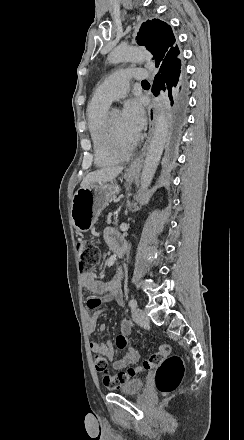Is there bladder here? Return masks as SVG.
I'll return each instance as SVG.
<instances>
[{
    "instance_id": "bladder-1",
    "label": "bladder",
    "mask_w": 244,
    "mask_h": 440,
    "mask_svg": "<svg viewBox=\"0 0 244 440\" xmlns=\"http://www.w3.org/2000/svg\"><path fill=\"white\" fill-rule=\"evenodd\" d=\"M144 380L132 378L129 383L118 387V392L122 394H138L144 388Z\"/></svg>"
}]
</instances>
